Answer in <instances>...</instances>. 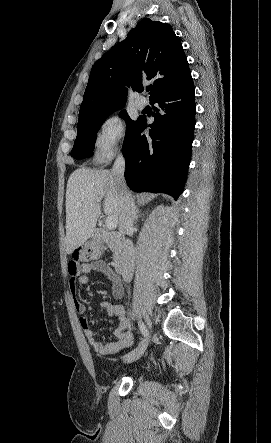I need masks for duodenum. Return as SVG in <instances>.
<instances>
[{
	"label": "duodenum",
	"instance_id": "obj_1",
	"mask_svg": "<svg viewBox=\"0 0 271 443\" xmlns=\"http://www.w3.org/2000/svg\"><path fill=\"white\" fill-rule=\"evenodd\" d=\"M95 239L111 243L116 255L114 269L118 274L128 273L134 263V248L120 233L96 228L93 232Z\"/></svg>",
	"mask_w": 271,
	"mask_h": 443
}]
</instances>
